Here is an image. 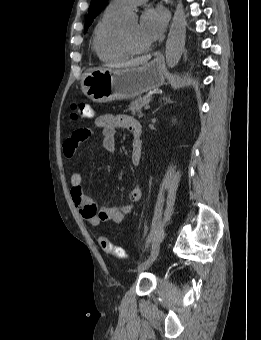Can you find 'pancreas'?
<instances>
[{
  "mask_svg": "<svg viewBox=\"0 0 261 340\" xmlns=\"http://www.w3.org/2000/svg\"><path fill=\"white\" fill-rule=\"evenodd\" d=\"M149 102H150L149 98L146 99L136 98L131 102L129 110L131 111L132 115L142 117L143 116L142 107L149 104Z\"/></svg>",
  "mask_w": 261,
  "mask_h": 340,
  "instance_id": "1",
  "label": "pancreas"
}]
</instances>
